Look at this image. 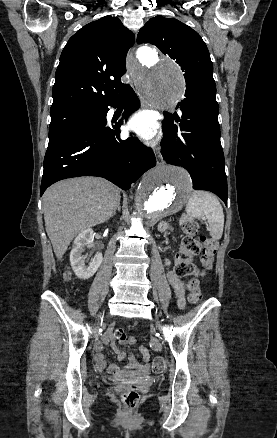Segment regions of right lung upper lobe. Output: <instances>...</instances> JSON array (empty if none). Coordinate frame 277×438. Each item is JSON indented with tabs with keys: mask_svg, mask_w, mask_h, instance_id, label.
<instances>
[{
	"mask_svg": "<svg viewBox=\"0 0 277 438\" xmlns=\"http://www.w3.org/2000/svg\"><path fill=\"white\" fill-rule=\"evenodd\" d=\"M135 36L113 16L82 27L64 47L52 89L51 112L98 109L122 93L126 54Z\"/></svg>",
	"mask_w": 277,
	"mask_h": 438,
	"instance_id": "right-lung-upper-lobe-1",
	"label": "right lung upper lobe"
}]
</instances>
